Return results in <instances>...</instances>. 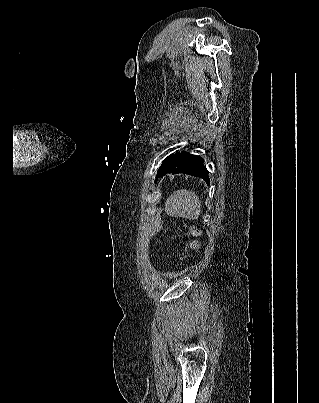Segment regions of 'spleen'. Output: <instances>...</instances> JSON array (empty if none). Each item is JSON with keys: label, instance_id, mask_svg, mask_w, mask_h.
<instances>
[{"label": "spleen", "instance_id": "3e777b00", "mask_svg": "<svg viewBox=\"0 0 319 403\" xmlns=\"http://www.w3.org/2000/svg\"><path fill=\"white\" fill-rule=\"evenodd\" d=\"M165 210L172 217L197 219L201 213V202L195 192L180 189L168 198Z\"/></svg>", "mask_w": 319, "mask_h": 403}]
</instances>
